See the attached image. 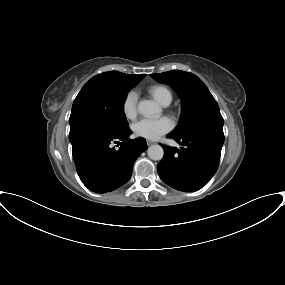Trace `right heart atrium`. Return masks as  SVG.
<instances>
[{"label":"right heart atrium","instance_id":"obj_1","mask_svg":"<svg viewBox=\"0 0 285 285\" xmlns=\"http://www.w3.org/2000/svg\"><path fill=\"white\" fill-rule=\"evenodd\" d=\"M137 93L135 91H130L126 94L122 110L127 119H134L137 115Z\"/></svg>","mask_w":285,"mask_h":285}]
</instances>
